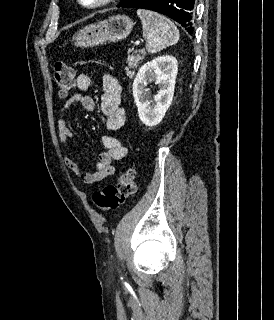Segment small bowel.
Returning <instances> with one entry per match:
<instances>
[{
  "label": "small bowel",
  "mask_w": 274,
  "mask_h": 320,
  "mask_svg": "<svg viewBox=\"0 0 274 320\" xmlns=\"http://www.w3.org/2000/svg\"><path fill=\"white\" fill-rule=\"evenodd\" d=\"M92 84L90 74L82 73L77 77V87L80 90H87ZM76 104H80L87 111L95 109V102L92 97L73 93L70 95L61 107V117L57 122V129L60 141L63 144L73 138V132L67 124L66 114ZM100 110L105 117V126L107 129L115 131L121 129L126 121L125 110L121 105V85L111 74L103 76V94L101 96ZM101 142L105 151L99 155V161L94 172H86L71 159L67 154L64 155V164L74 176L85 184H97L115 173L113 161L121 160L128 156V149L122 145L120 140L111 135H103Z\"/></svg>",
  "instance_id": "c3829d8e"
}]
</instances>
